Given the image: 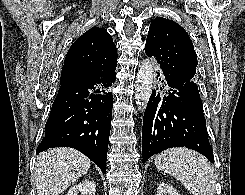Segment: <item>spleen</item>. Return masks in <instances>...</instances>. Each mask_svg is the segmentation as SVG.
I'll return each mask as SVG.
<instances>
[{
	"label": "spleen",
	"instance_id": "3e777b00",
	"mask_svg": "<svg viewBox=\"0 0 245 195\" xmlns=\"http://www.w3.org/2000/svg\"><path fill=\"white\" fill-rule=\"evenodd\" d=\"M155 165L179 180L192 195H214L213 169L209 161L198 152L171 148L156 156Z\"/></svg>",
	"mask_w": 245,
	"mask_h": 195
}]
</instances>
